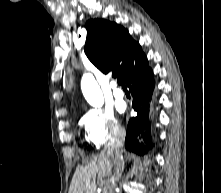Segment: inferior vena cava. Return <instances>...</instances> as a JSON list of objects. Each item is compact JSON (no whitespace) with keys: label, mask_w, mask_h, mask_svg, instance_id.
<instances>
[{"label":"inferior vena cava","mask_w":221,"mask_h":193,"mask_svg":"<svg viewBox=\"0 0 221 193\" xmlns=\"http://www.w3.org/2000/svg\"><path fill=\"white\" fill-rule=\"evenodd\" d=\"M125 141V133L122 130L115 132L108 144V152L113 155L114 172L110 178L108 193H115L117 181H119L124 169V161L121 150Z\"/></svg>","instance_id":"602c4592"}]
</instances>
